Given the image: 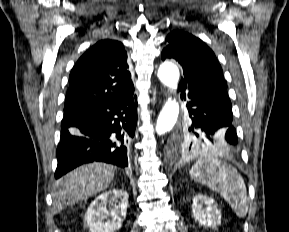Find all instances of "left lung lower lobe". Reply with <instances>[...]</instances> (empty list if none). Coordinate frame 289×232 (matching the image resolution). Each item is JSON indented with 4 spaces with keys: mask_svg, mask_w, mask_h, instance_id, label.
Listing matches in <instances>:
<instances>
[{
    "mask_svg": "<svg viewBox=\"0 0 289 232\" xmlns=\"http://www.w3.org/2000/svg\"><path fill=\"white\" fill-rule=\"evenodd\" d=\"M179 90L182 99L188 100L187 108L192 120L189 130L196 141L205 146L202 152L236 157L239 152L238 139L232 124V106L228 95L202 84L185 81L180 82Z\"/></svg>",
    "mask_w": 289,
    "mask_h": 232,
    "instance_id": "0a47b994",
    "label": "left lung lower lobe"
}]
</instances>
